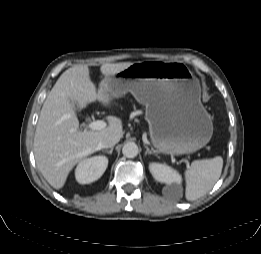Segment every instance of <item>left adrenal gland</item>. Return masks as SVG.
<instances>
[{
	"mask_svg": "<svg viewBox=\"0 0 261 254\" xmlns=\"http://www.w3.org/2000/svg\"><path fill=\"white\" fill-rule=\"evenodd\" d=\"M144 147L146 148L145 156H146L147 154H154V153L148 148V146L144 145Z\"/></svg>",
	"mask_w": 261,
	"mask_h": 254,
	"instance_id": "1",
	"label": "left adrenal gland"
}]
</instances>
